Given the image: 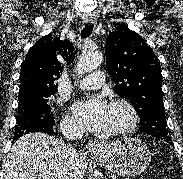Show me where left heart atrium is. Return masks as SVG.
<instances>
[{
  "label": "left heart atrium",
  "instance_id": "1",
  "mask_svg": "<svg viewBox=\"0 0 183 179\" xmlns=\"http://www.w3.org/2000/svg\"><path fill=\"white\" fill-rule=\"evenodd\" d=\"M109 106L99 98L78 102L75 113L82 123L93 132L106 130Z\"/></svg>",
  "mask_w": 183,
  "mask_h": 179
}]
</instances>
